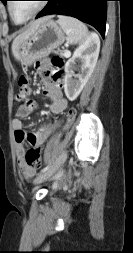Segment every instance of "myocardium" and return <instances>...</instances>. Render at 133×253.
I'll list each match as a JSON object with an SVG mask.
<instances>
[{"instance_id":"myocardium-1","label":"myocardium","mask_w":133,"mask_h":253,"mask_svg":"<svg viewBox=\"0 0 133 253\" xmlns=\"http://www.w3.org/2000/svg\"><path fill=\"white\" fill-rule=\"evenodd\" d=\"M11 4H12L11 1L8 2V5H7L8 12H9V15H10L12 21H13L14 23H16V24H24V23L30 21L31 19L35 18V17L45 8V6H46L45 0L40 1V4H39V6L37 7V9H36L29 17H27L26 19H24V20H22V21H17V20L14 18V16H13Z\"/></svg>"}]
</instances>
